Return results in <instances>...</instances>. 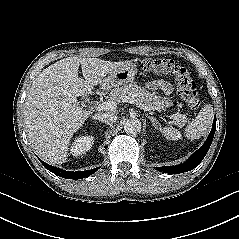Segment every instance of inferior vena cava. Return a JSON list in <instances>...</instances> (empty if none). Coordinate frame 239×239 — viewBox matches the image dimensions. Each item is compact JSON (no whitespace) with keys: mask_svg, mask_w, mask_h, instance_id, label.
<instances>
[{"mask_svg":"<svg viewBox=\"0 0 239 239\" xmlns=\"http://www.w3.org/2000/svg\"><path fill=\"white\" fill-rule=\"evenodd\" d=\"M93 119L104 122L107 125L113 124L116 122L117 117L113 113H98L92 116Z\"/></svg>","mask_w":239,"mask_h":239,"instance_id":"602c4592","label":"inferior vena cava"}]
</instances>
